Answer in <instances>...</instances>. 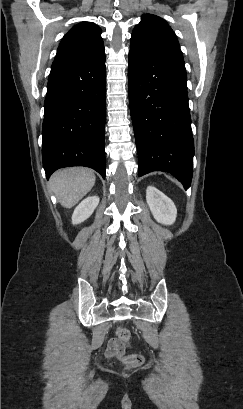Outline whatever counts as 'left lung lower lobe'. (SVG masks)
I'll return each instance as SVG.
<instances>
[{"mask_svg":"<svg viewBox=\"0 0 243 409\" xmlns=\"http://www.w3.org/2000/svg\"><path fill=\"white\" fill-rule=\"evenodd\" d=\"M186 82L180 49L166 48L150 54L129 51V103L138 174L169 172L188 188L194 142Z\"/></svg>","mask_w":243,"mask_h":409,"instance_id":"left-lung-lower-lobe-1","label":"left lung lower lobe"}]
</instances>
